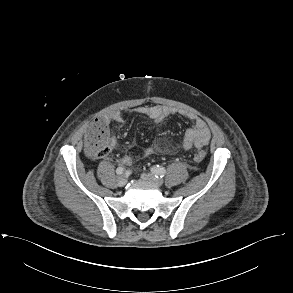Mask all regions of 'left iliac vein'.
<instances>
[{
  "label": "left iliac vein",
  "instance_id": "obj_1",
  "mask_svg": "<svg viewBox=\"0 0 293 293\" xmlns=\"http://www.w3.org/2000/svg\"><path fill=\"white\" fill-rule=\"evenodd\" d=\"M141 178L157 187H160L163 184V180L161 178H157L154 174L151 173H143Z\"/></svg>",
  "mask_w": 293,
  "mask_h": 293
}]
</instances>
